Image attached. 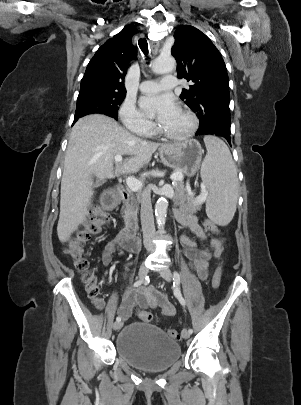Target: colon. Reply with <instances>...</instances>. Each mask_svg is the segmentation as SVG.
<instances>
[{
  "mask_svg": "<svg viewBox=\"0 0 301 405\" xmlns=\"http://www.w3.org/2000/svg\"><path fill=\"white\" fill-rule=\"evenodd\" d=\"M110 222L109 213H103L101 209H93L87 217L84 219L82 227L67 240V246L65 249L75 266V268L83 275V280L86 285V289L90 298L98 302L99 288L95 276L89 270V262L84 255V246L88 240L100 235L104 227ZM204 228L216 233L219 231L218 226L210 221H204ZM222 265H218L212 276L213 288H218L221 283ZM139 317L146 322H155L157 318L150 312L145 310H138ZM168 335L173 339H179L180 334L176 329H169Z\"/></svg>",
  "mask_w": 301,
  "mask_h": 405,
  "instance_id": "5ec220e1",
  "label": "colon"
}]
</instances>
